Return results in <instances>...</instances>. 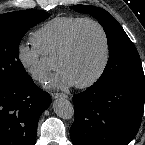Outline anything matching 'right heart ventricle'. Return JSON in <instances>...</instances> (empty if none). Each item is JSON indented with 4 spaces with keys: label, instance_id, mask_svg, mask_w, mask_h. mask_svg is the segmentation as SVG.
<instances>
[{
    "label": "right heart ventricle",
    "instance_id": "e07e8e85",
    "mask_svg": "<svg viewBox=\"0 0 145 145\" xmlns=\"http://www.w3.org/2000/svg\"><path fill=\"white\" fill-rule=\"evenodd\" d=\"M77 16H58L43 24L31 36L32 43L48 59H55L62 49L73 26L80 20Z\"/></svg>",
    "mask_w": 145,
    "mask_h": 145
}]
</instances>
